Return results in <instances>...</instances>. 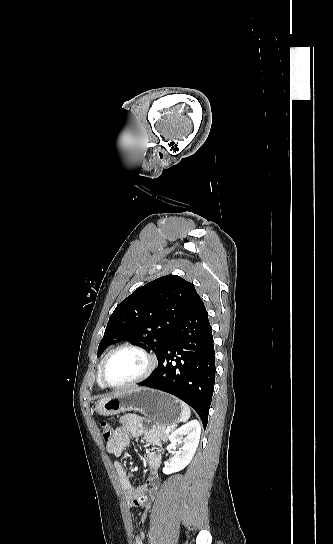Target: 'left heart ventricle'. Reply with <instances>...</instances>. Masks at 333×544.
Masks as SVG:
<instances>
[{"mask_svg":"<svg viewBox=\"0 0 333 544\" xmlns=\"http://www.w3.org/2000/svg\"><path fill=\"white\" fill-rule=\"evenodd\" d=\"M146 366L144 356L133 350H122L109 360L105 377L111 384H122L140 375Z\"/></svg>","mask_w":333,"mask_h":544,"instance_id":"b2bd125f","label":"left heart ventricle"}]
</instances>
